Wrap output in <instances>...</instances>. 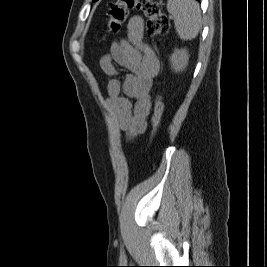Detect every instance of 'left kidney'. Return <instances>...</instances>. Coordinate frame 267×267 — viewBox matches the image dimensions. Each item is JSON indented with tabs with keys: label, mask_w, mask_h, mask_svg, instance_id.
Returning <instances> with one entry per match:
<instances>
[{
	"label": "left kidney",
	"mask_w": 267,
	"mask_h": 267,
	"mask_svg": "<svg viewBox=\"0 0 267 267\" xmlns=\"http://www.w3.org/2000/svg\"><path fill=\"white\" fill-rule=\"evenodd\" d=\"M189 55L186 49H176L170 56L171 68L175 72L185 70L188 65Z\"/></svg>",
	"instance_id": "left-kidney-1"
}]
</instances>
